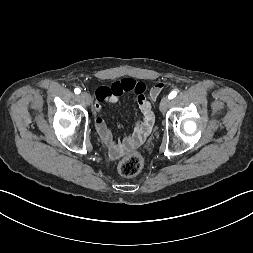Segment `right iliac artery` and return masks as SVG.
<instances>
[{"mask_svg": "<svg viewBox=\"0 0 253 253\" xmlns=\"http://www.w3.org/2000/svg\"><path fill=\"white\" fill-rule=\"evenodd\" d=\"M74 92L75 94H80L81 90L79 88H75Z\"/></svg>", "mask_w": 253, "mask_h": 253, "instance_id": "82829eb1", "label": "right iliac artery"}]
</instances>
